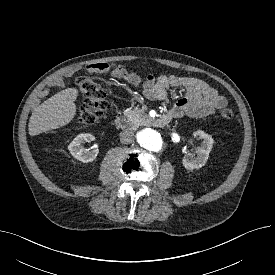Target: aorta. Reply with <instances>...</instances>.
<instances>
[{"instance_id":"762f6f07","label":"aorta","mask_w":275,"mask_h":275,"mask_svg":"<svg viewBox=\"0 0 275 275\" xmlns=\"http://www.w3.org/2000/svg\"><path fill=\"white\" fill-rule=\"evenodd\" d=\"M139 145L149 151H159L162 146V140L155 130L146 128L137 133Z\"/></svg>"}]
</instances>
